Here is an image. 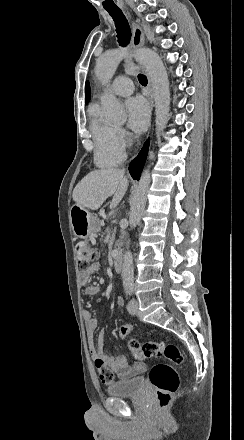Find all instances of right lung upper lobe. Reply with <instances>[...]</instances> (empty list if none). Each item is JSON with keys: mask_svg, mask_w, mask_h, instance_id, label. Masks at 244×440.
I'll list each match as a JSON object with an SVG mask.
<instances>
[{"mask_svg": "<svg viewBox=\"0 0 244 440\" xmlns=\"http://www.w3.org/2000/svg\"><path fill=\"white\" fill-rule=\"evenodd\" d=\"M85 101L86 102L90 101V86H89V82L88 81L85 84Z\"/></svg>", "mask_w": 244, "mask_h": 440, "instance_id": "1", "label": "right lung upper lobe"}]
</instances>
